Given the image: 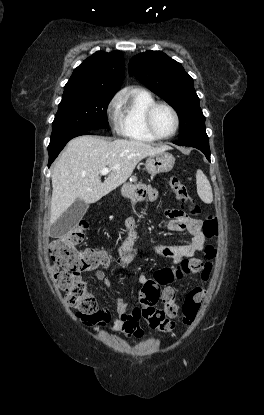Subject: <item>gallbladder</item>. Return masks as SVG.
<instances>
[{
    "label": "gallbladder",
    "mask_w": 264,
    "mask_h": 415,
    "mask_svg": "<svg viewBox=\"0 0 264 415\" xmlns=\"http://www.w3.org/2000/svg\"><path fill=\"white\" fill-rule=\"evenodd\" d=\"M88 209V204L77 199L54 223L51 236L60 237L69 233L82 219Z\"/></svg>",
    "instance_id": "1"
}]
</instances>
